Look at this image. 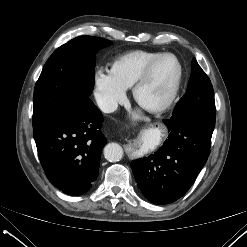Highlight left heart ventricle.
Here are the masks:
<instances>
[{
  "mask_svg": "<svg viewBox=\"0 0 247 247\" xmlns=\"http://www.w3.org/2000/svg\"><path fill=\"white\" fill-rule=\"evenodd\" d=\"M177 74V65L173 58L162 59L153 69L148 81L142 87L141 99L148 104L164 100L169 94Z\"/></svg>",
  "mask_w": 247,
  "mask_h": 247,
  "instance_id": "1",
  "label": "left heart ventricle"
}]
</instances>
